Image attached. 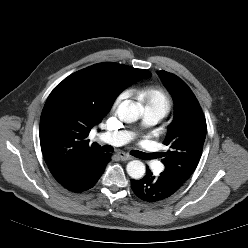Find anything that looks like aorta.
I'll use <instances>...</instances> for the list:
<instances>
[{"mask_svg": "<svg viewBox=\"0 0 248 248\" xmlns=\"http://www.w3.org/2000/svg\"><path fill=\"white\" fill-rule=\"evenodd\" d=\"M117 115L121 121L132 123L141 116L140 106L131 101H123L117 108ZM128 175L133 179H141L145 174V165L139 160L130 161L126 167Z\"/></svg>", "mask_w": 248, "mask_h": 248, "instance_id": "obj_1", "label": "aorta"}]
</instances>
